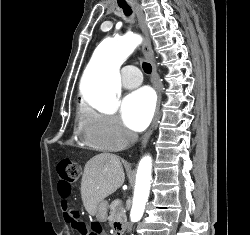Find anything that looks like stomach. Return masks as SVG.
<instances>
[{
	"instance_id": "stomach-1",
	"label": "stomach",
	"mask_w": 250,
	"mask_h": 235,
	"mask_svg": "<svg viewBox=\"0 0 250 235\" xmlns=\"http://www.w3.org/2000/svg\"><path fill=\"white\" fill-rule=\"evenodd\" d=\"M107 207L108 204L105 200H102L96 210V219L100 222H104L107 219Z\"/></svg>"
}]
</instances>
